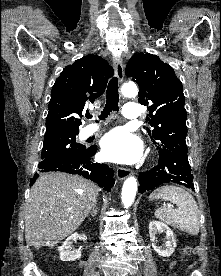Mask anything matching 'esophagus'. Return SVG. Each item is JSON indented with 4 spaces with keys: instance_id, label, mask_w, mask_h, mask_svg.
<instances>
[{
    "instance_id": "1",
    "label": "esophagus",
    "mask_w": 221,
    "mask_h": 276,
    "mask_svg": "<svg viewBox=\"0 0 221 276\" xmlns=\"http://www.w3.org/2000/svg\"><path fill=\"white\" fill-rule=\"evenodd\" d=\"M113 65H114V70H115L116 76H117L119 82L122 83V81L124 79V67L122 64V60L119 58L115 59L113 62ZM129 175H130V170L127 168L119 167L116 170V176H117L118 180H124Z\"/></svg>"
}]
</instances>
